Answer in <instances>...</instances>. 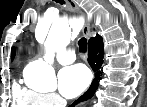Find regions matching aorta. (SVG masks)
Listing matches in <instances>:
<instances>
[{
	"label": "aorta",
	"mask_w": 147,
	"mask_h": 107,
	"mask_svg": "<svg viewBox=\"0 0 147 107\" xmlns=\"http://www.w3.org/2000/svg\"><path fill=\"white\" fill-rule=\"evenodd\" d=\"M71 27L62 21L53 22L46 41L44 60L31 62L27 69L32 74V85L44 90H53L56 87L55 72L51 66L54 62L55 52L66 47L72 37Z\"/></svg>",
	"instance_id": "obj_1"
}]
</instances>
